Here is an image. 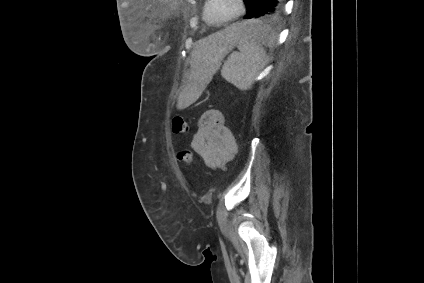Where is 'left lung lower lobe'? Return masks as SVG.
Wrapping results in <instances>:
<instances>
[{"instance_id": "0a47b994", "label": "left lung lower lobe", "mask_w": 424, "mask_h": 283, "mask_svg": "<svg viewBox=\"0 0 424 283\" xmlns=\"http://www.w3.org/2000/svg\"><path fill=\"white\" fill-rule=\"evenodd\" d=\"M284 4V0H259L252 18H259L276 12Z\"/></svg>"}]
</instances>
